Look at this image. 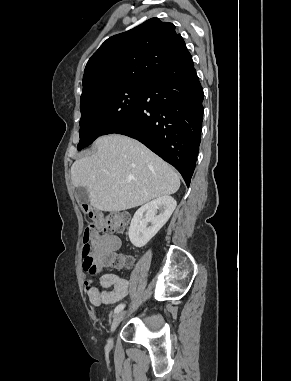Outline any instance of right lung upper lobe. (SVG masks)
<instances>
[{
  "mask_svg": "<svg viewBox=\"0 0 291 381\" xmlns=\"http://www.w3.org/2000/svg\"><path fill=\"white\" fill-rule=\"evenodd\" d=\"M185 50L175 26L158 18L114 35L87 62L81 102L107 88L147 82Z\"/></svg>",
  "mask_w": 291,
  "mask_h": 381,
  "instance_id": "right-lung-upper-lobe-1",
  "label": "right lung upper lobe"
}]
</instances>
